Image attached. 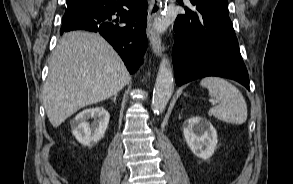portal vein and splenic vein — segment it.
Returning <instances> with one entry per match:
<instances>
[{"instance_id":"18ae733b","label":"portal vein and splenic vein","mask_w":293,"mask_h":184,"mask_svg":"<svg viewBox=\"0 0 293 184\" xmlns=\"http://www.w3.org/2000/svg\"><path fill=\"white\" fill-rule=\"evenodd\" d=\"M218 103V101H216V100H211V104L212 105H216Z\"/></svg>"}]
</instances>
